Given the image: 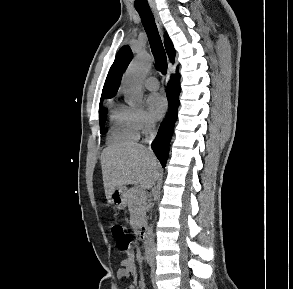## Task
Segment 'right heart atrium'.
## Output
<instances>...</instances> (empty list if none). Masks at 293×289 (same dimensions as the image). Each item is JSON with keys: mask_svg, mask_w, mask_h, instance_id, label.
Instances as JSON below:
<instances>
[{"mask_svg": "<svg viewBox=\"0 0 293 289\" xmlns=\"http://www.w3.org/2000/svg\"><path fill=\"white\" fill-rule=\"evenodd\" d=\"M133 116L139 133L146 135L153 131L155 127L154 121L142 108H134Z\"/></svg>", "mask_w": 293, "mask_h": 289, "instance_id": "1", "label": "right heart atrium"}]
</instances>
